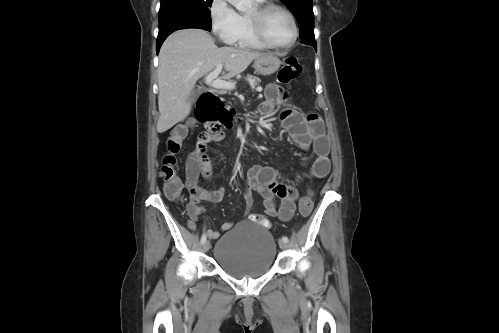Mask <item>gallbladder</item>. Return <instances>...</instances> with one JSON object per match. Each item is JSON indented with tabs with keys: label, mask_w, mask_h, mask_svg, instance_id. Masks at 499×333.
Returning <instances> with one entry per match:
<instances>
[{
	"label": "gallbladder",
	"mask_w": 499,
	"mask_h": 333,
	"mask_svg": "<svg viewBox=\"0 0 499 333\" xmlns=\"http://www.w3.org/2000/svg\"><path fill=\"white\" fill-rule=\"evenodd\" d=\"M199 94H200V90H198V89L194 90L191 94V100L194 101L195 99H197Z\"/></svg>",
	"instance_id": "gallbladder-1"
}]
</instances>
